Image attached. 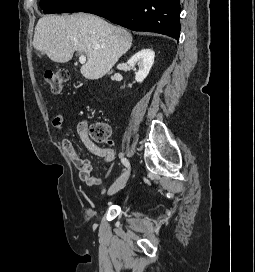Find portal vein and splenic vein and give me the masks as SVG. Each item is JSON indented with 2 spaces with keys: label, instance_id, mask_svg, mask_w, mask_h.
<instances>
[{
  "label": "portal vein and splenic vein",
  "instance_id": "obj_1",
  "mask_svg": "<svg viewBox=\"0 0 255 272\" xmlns=\"http://www.w3.org/2000/svg\"><path fill=\"white\" fill-rule=\"evenodd\" d=\"M79 62H80L81 64H84V63L86 62V57H85V55H80V57H79Z\"/></svg>",
  "mask_w": 255,
  "mask_h": 272
}]
</instances>
